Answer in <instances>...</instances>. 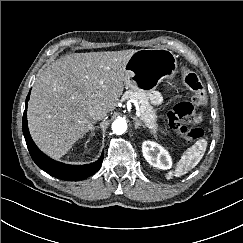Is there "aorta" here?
Returning a JSON list of instances; mask_svg holds the SVG:
<instances>
[{"label":"aorta","mask_w":243,"mask_h":243,"mask_svg":"<svg viewBox=\"0 0 243 243\" xmlns=\"http://www.w3.org/2000/svg\"><path fill=\"white\" fill-rule=\"evenodd\" d=\"M127 130V123L124 119H116L112 123V131L116 135L124 134Z\"/></svg>","instance_id":"aorta-1"}]
</instances>
